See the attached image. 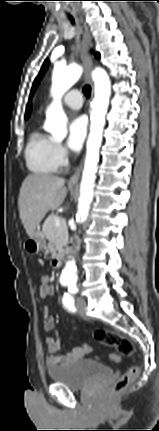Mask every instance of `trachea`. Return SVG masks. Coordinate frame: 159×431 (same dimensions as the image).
Here are the masks:
<instances>
[{"mask_svg":"<svg viewBox=\"0 0 159 431\" xmlns=\"http://www.w3.org/2000/svg\"><path fill=\"white\" fill-rule=\"evenodd\" d=\"M70 21L74 24V19L70 18ZM83 93L87 98H89L91 94V87L89 85H85L83 87Z\"/></svg>","mask_w":159,"mask_h":431,"instance_id":"1","label":"trachea"}]
</instances>
